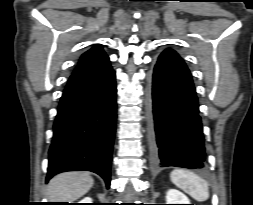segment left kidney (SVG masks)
<instances>
[{"label":"left kidney","instance_id":"1","mask_svg":"<svg viewBox=\"0 0 253 205\" xmlns=\"http://www.w3.org/2000/svg\"><path fill=\"white\" fill-rule=\"evenodd\" d=\"M185 194L176 189H169L166 194V204H190Z\"/></svg>","mask_w":253,"mask_h":205}]
</instances>
